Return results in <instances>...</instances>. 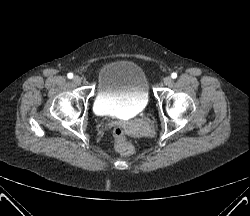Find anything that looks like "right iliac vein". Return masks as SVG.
Returning <instances> with one entry per match:
<instances>
[{"label":"right iliac vein","instance_id":"obj_1","mask_svg":"<svg viewBox=\"0 0 250 216\" xmlns=\"http://www.w3.org/2000/svg\"><path fill=\"white\" fill-rule=\"evenodd\" d=\"M73 82L75 84L79 85V84H81L82 79H81V77H79V76L76 75V76L73 77Z\"/></svg>","mask_w":250,"mask_h":216}]
</instances>
